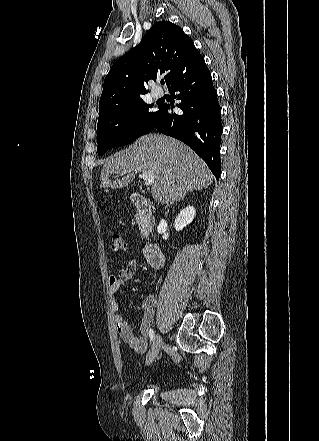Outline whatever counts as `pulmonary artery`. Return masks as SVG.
Listing matches in <instances>:
<instances>
[{
    "mask_svg": "<svg viewBox=\"0 0 319 441\" xmlns=\"http://www.w3.org/2000/svg\"><path fill=\"white\" fill-rule=\"evenodd\" d=\"M151 93L154 98H160L163 95V92L158 89H153Z\"/></svg>",
    "mask_w": 319,
    "mask_h": 441,
    "instance_id": "pulmonary-artery-1",
    "label": "pulmonary artery"
}]
</instances>
